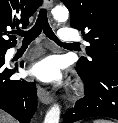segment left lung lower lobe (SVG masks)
Wrapping results in <instances>:
<instances>
[{"label": "left lung lower lobe", "mask_w": 118, "mask_h": 123, "mask_svg": "<svg viewBox=\"0 0 118 123\" xmlns=\"http://www.w3.org/2000/svg\"><path fill=\"white\" fill-rule=\"evenodd\" d=\"M85 97L67 110L63 123L104 116L118 120V64H105L88 74L77 67Z\"/></svg>", "instance_id": "1"}]
</instances>
